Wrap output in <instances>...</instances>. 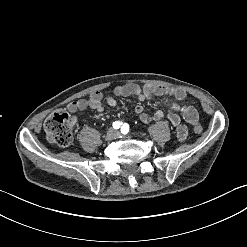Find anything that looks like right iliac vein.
I'll use <instances>...</instances> for the list:
<instances>
[{
	"mask_svg": "<svg viewBox=\"0 0 247 247\" xmlns=\"http://www.w3.org/2000/svg\"><path fill=\"white\" fill-rule=\"evenodd\" d=\"M117 133L114 129H109L106 133L105 139L106 140H111L116 137Z\"/></svg>",
	"mask_w": 247,
	"mask_h": 247,
	"instance_id": "1",
	"label": "right iliac vein"
}]
</instances>
